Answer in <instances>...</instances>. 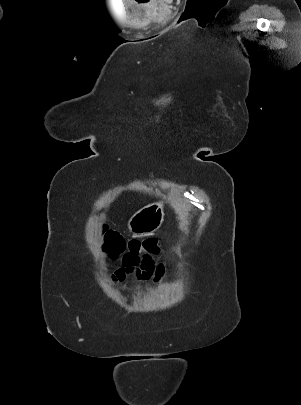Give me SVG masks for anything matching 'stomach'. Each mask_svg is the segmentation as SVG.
Here are the masks:
<instances>
[{
    "instance_id": "0dacf381",
    "label": "stomach",
    "mask_w": 301,
    "mask_h": 405,
    "mask_svg": "<svg viewBox=\"0 0 301 405\" xmlns=\"http://www.w3.org/2000/svg\"><path fill=\"white\" fill-rule=\"evenodd\" d=\"M163 221L161 203H154L137 211L128 222V229L134 235H148L156 231Z\"/></svg>"
}]
</instances>
